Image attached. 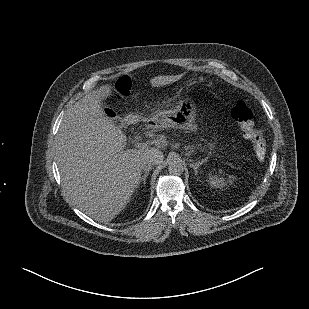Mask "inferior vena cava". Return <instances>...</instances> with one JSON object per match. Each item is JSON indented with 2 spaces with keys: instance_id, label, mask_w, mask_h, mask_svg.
<instances>
[{
  "instance_id": "inferior-vena-cava-1",
  "label": "inferior vena cava",
  "mask_w": 309,
  "mask_h": 309,
  "mask_svg": "<svg viewBox=\"0 0 309 309\" xmlns=\"http://www.w3.org/2000/svg\"><path fill=\"white\" fill-rule=\"evenodd\" d=\"M154 165L155 163L153 161L148 160L142 164L141 169L145 172H149V170H151Z\"/></svg>"
}]
</instances>
